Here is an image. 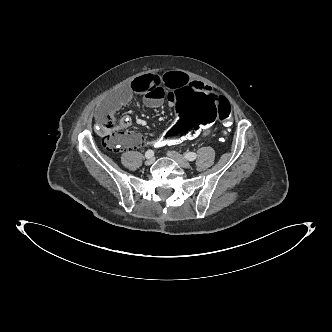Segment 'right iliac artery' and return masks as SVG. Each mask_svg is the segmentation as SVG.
<instances>
[{"instance_id": "obj_1", "label": "right iliac artery", "mask_w": 332, "mask_h": 332, "mask_svg": "<svg viewBox=\"0 0 332 332\" xmlns=\"http://www.w3.org/2000/svg\"><path fill=\"white\" fill-rule=\"evenodd\" d=\"M153 156H154V151L153 150L146 151V153H145L146 158H150V157H153Z\"/></svg>"}]
</instances>
